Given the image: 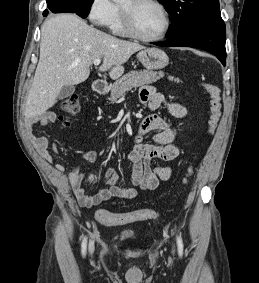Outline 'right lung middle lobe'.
<instances>
[{"instance_id": "right-lung-middle-lobe-1", "label": "right lung middle lobe", "mask_w": 259, "mask_h": 283, "mask_svg": "<svg viewBox=\"0 0 259 283\" xmlns=\"http://www.w3.org/2000/svg\"><path fill=\"white\" fill-rule=\"evenodd\" d=\"M80 1H81V7L77 15L81 16L82 18H85L87 17L90 10V6L94 0H80Z\"/></svg>"}]
</instances>
